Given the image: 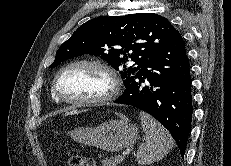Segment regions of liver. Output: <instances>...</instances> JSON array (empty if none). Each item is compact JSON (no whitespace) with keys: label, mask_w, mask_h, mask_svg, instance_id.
<instances>
[{"label":"liver","mask_w":231,"mask_h":166,"mask_svg":"<svg viewBox=\"0 0 231 166\" xmlns=\"http://www.w3.org/2000/svg\"><path fill=\"white\" fill-rule=\"evenodd\" d=\"M64 113V115H72V114H75L77 113V110L73 107H69V108H66L62 111Z\"/></svg>","instance_id":"1"}]
</instances>
